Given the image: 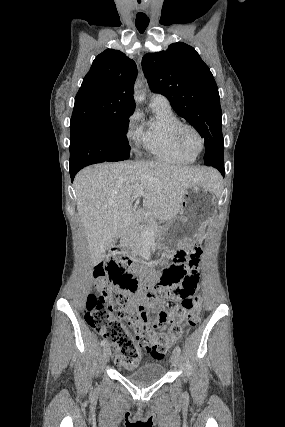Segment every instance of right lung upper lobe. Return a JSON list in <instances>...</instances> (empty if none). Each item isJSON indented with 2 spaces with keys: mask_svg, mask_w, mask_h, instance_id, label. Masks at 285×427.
<instances>
[{
  "mask_svg": "<svg viewBox=\"0 0 285 427\" xmlns=\"http://www.w3.org/2000/svg\"><path fill=\"white\" fill-rule=\"evenodd\" d=\"M136 77V63L121 51L107 49L99 54L75 97L71 122L131 115L135 110L133 85Z\"/></svg>",
  "mask_w": 285,
  "mask_h": 427,
  "instance_id": "1",
  "label": "right lung upper lobe"
}]
</instances>
